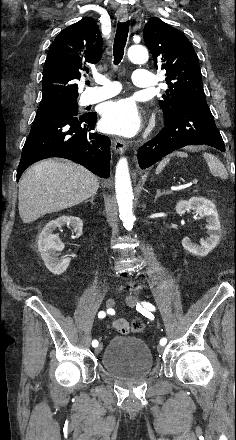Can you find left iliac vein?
<instances>
[{"label": "left iliac vein", "instance_id": "4c4485c4", "mask_svg": "<svg viewBox=\"0 0 236 440\" xmlns=\"http://www.w3.org/2000/svg\"><path fill=\"white\" fill-rule=\"evenodd\" d=\"M138 299L136 296L134 295H129L126 297V303L128 306L130 307H135L136 303H137ZM158 352H163L164 351V346L163 345H159L157 348Z\"/></svg>", "mask_w": 236, "mask_h": 440}]
</instances>
